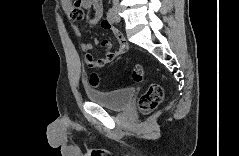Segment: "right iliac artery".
<instances>
[{
  "label": "right iliac artery",
  "mask_w": 239,
  "mask_h": 156,
  "mask_svg": "<svg viewBox=\"0 0 239 156\" xmlns=\"http://www.w3.org/2000/svg\"><path fill=\"white\" fill-rule=\"evenodd\" d=\"M107 19L109 20L110 23H114L116 16H115V11L114 8H110L107 12Z\"/></svg>",
  "instance_id": "obj_1"
}]
</instances>
